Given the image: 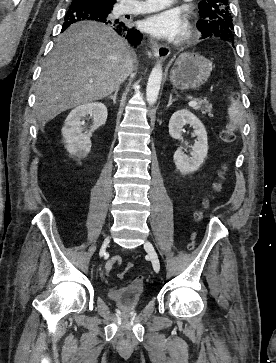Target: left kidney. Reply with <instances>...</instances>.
Listing matches in <instances>:
<instances>
[{"mask_svg": "<svg viewBox=\"0 0 276 363\" xmlns=\"http://www.w3.org/2000/svg\"><path fill=\"white\" fill-rule=\"evenodd\" d=\"M189 124L194 129L197 137L194 145L191 146V156L184 154L183 147H179L173 156L176 168L184 175L197 171L204 162L208 153L207 132L202 122L189 110L176 111L169 121V134L172 138L183 142L182 131L185 125ZM188 146V143H184Z\"/></svg>", "mask_w": 276, "mask_h": 363, "instance_id": "left-kidney-1", "label": "left kidney"}]
</instances>
